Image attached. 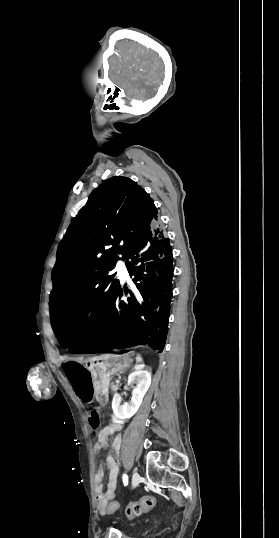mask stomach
Here are the masks:
<instances>
[{
    "mask_svg": "<svg viewBox=\"0 0 279 538\" xmlns=\"http://www.w3.org/2000/svg\"><path fill=\"white\" fill-rule=\"evenodd\" d=\"M132 362L131 353H99L98 354V377L95 385L97 386V399L99 406L106 408L108 406V386L115 374H119L120 368H128Z\"/></svg>",
    "mask_w": 279,
    "mask_h": 538,
    "instance_id": "1",
    "label": "stomach"
}]
</instances>
